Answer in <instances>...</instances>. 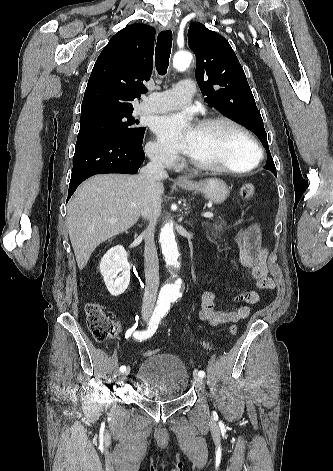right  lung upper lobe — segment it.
Here are the masks:
<instances>
[{"instance_id": "obj_1", "label": "right lung upper lobe", "mask_w": 333, "mask_h": 471, "mask_svg": "<svg viewBox=\"0 0 333 471\" xmlns=\"http://www.w3.org/2000/svg\"><path fill=\"white\" fill-rule=\"evenodd\" d=\"M155 29L132 24L116 33L97 58L85 90L81 119L132 110V101L146 93L143 84L153 69Z\"/></svg>"}]
</instances>
